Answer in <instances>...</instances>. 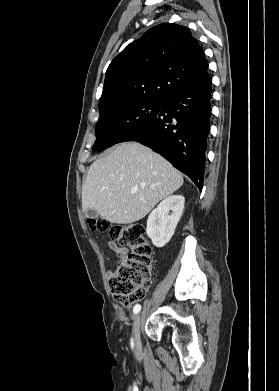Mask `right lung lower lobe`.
I'll use <instances>...</instances> for the list:
<instances>
[{"mask_svg":"<svg viewBox=\"0 0 279 391\" xmlns=\"http://www.w3.org/2000/svg\"><path fill=\"white\" fill-rule=\"evenodd\" d=\"M211 82L206 72L164 101L152 121L133 129L120 142L137 141L150 147L202 190L206 140L210 131Z\"/></svg>","mask_w":279,"mask_h":391,"instance_id":"right-lung-lower-lobe-1","label":"right lung lower lobe"}]
</instances>
